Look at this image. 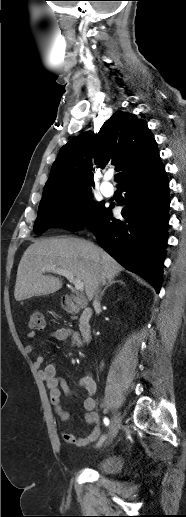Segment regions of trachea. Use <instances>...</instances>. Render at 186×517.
Listing matches in <instances>:
<instances>
[{"label":"trachea","mask_w":186,"mask_h":517,"mask_svg":"<svg viewBox=\"0 0 186 517\" xmlns=\"http://www.w3.org/2000/svg\"><path fill=\"white\" fill-rule=\"evenodd\" d=\"M121 178V173H117L115 176H114V181L115 182H118Z\"/></svg>","instance_id":"3493384b"}]
</instances>
